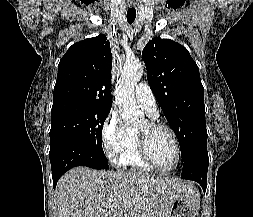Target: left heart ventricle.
<instances>
[{"mask_svg":"<svg viewBox=\"0 0 253 217\" xmlns=\"http://www.w3.org/2000/svg\"><path fill=\"white\" fill-rule=\"evenodd\" d=\"M147 135L149 153L154 162L162 169H169L175 162V145L170 134L165 130L150 131L147 123L139 130Z\"/></svg>","mask_w":253,"mask_h":217,"instance_id":"b2bd125f","label":"left heart ventricle"}]
</instances>
